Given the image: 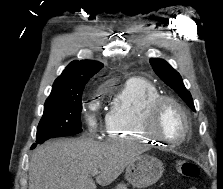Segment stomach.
<instances>
[{
	"mask_svg": "<svg viewBox=\"0 0 223 189\" xmlns=\"http://www.w3.org/2000/svg\"><path fill=\"white\" fill-rule=\"evenodd\" d=\"M163 171L160 160L148 154H141L126 167L125 178L132 186L144 188L154 184Z\"/></svg>",
	"mask_w": 223,
	"mask_h": 189,
	"instance_id": "1",
	"label": "stomach"
}]
</instances>
